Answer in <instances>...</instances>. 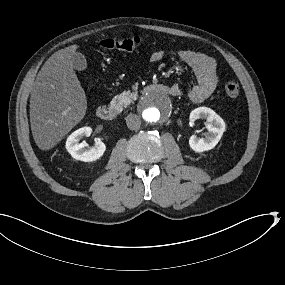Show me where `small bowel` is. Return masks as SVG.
Here are the masks:
<instances>
[{"instance_id":"obj_1","label":"small bowel","mask_w":285,"mask_h":285,"mask_svg":"<svg viewBox=\"0 0 285 285\" xmlns=\"http://www.w3.org/2000/svg\"><path fill=\"white\" fill-rule=\"evenodd\" d=\"M165 50H156L150 60L160 62L166 57ZM178 59L190 67L196 78V83L187 92L188 98L200 103L209 98L218 85L217 64L213 57L196 50H180L176 53ZM174 95H180L182 87L175 83L171 86Z\"/></svg>"}]
</instances>
